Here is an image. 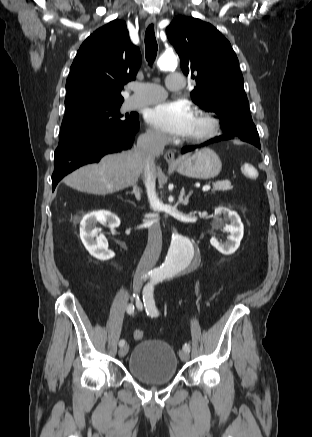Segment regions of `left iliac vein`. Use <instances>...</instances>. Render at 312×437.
<instances>
[{
    "mask_svg": "<svg viewBox=\"0 0 312 437\" xmlns=\"http://www.w3.org/2000/svg\"><path fill=\"white\" fill-rule=\"evenodd\" d=\"M179 356H180V359H181L182 361H184V362H186V361L189 360V352H188V351L181 350V351L179 352Z\"/></svg>",
    "mask_w": 312,
    "mask_h": 437,
    "instance_id": "left-iliac-vein-1",
    "label": "left iliac vein"
}]
</instances>
